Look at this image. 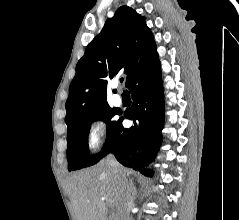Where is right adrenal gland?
<instances>
[{"label": "right adrenal gland", "instance_id": "1", "mask_svg": "<svg viewBox=\"0 0 239 220\" xmlns=\"http://www.w3.org/2000/svg\"><path fill=\"white\" fill-rule=\"evenodd\" d=\"M131 191L134 196L137 194V190L134 185H131Z\"/></svg>", "mask_w": 239, "mask_h": 220}]
</instances>
